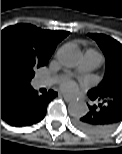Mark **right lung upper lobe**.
Instances as JSON below:
<instances>
[{
	"instance_id": "cb5924a9",
	"label": "right lung upper lobe",
	"mask_w": 122,
	"mask_h": 154,
	"mask_svg": "<svg viewBox=\"0 0 122 154\" xmlns=\"http://www.w3.org/2000/svg\"><path fill=\"white\" fill-rule=\"evenodd\" d=\"M69 32L42 30L30 24H16L1 31V40L11 38L38 62L47 64L57 43ZM22 85L1 73V94Z\"/></svg>"
}]
</instances>
